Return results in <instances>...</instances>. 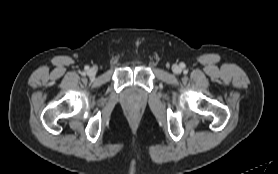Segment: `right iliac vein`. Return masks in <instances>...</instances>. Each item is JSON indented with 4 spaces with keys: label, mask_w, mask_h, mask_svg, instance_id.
<instances>
[{
    "label": "right iliac vein",
    "mask_w": 278,
    "mask_h": 174,
    "mask_svg": "<svg viewBox=\"0 0 278 174\" xmlns=\"http://www.w3.org/2000/svg\"><path fill=\"white\" fill-rule=\"evenodd\" d=\"M97 70L95 68H91L88 70L87 74L89 77H94L96 75Z\"/></svg>",
    "instance_id": "63e3f726"
}]
</instances>
